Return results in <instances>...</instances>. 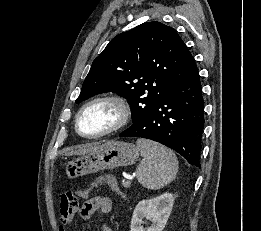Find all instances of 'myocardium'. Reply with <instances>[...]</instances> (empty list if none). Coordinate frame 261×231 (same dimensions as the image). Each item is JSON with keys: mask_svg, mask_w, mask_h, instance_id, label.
Masks as SVG:
<instances>
[{"mask_svg": "<svg viewBox=\"0 0 261 231\" xmlns=\"http://www.w3.org/2000/svg\"><path fill=\"white\" fill-rule=\"evenodd\" d=\"M99 102H108L113 104L114 106L117 107L118 112H119V119L117 123L112 126L111 128L97 133V134H92V135H87L81 132L79 128V120L82 115V113L91 105ZM132 119V108L129 102L118 95H102L98 96L95 98H92L91 100L87 101L77 112L76 117H75V131L77 132L78 135H80L83 138L87 139H95V138H101L113 133H116L118 131L123 130L131 121Z\"/></svg>", "mask_w": 261, "mask_h": 231, "instance_id": "f54148a6", "label": "myocardium"}]
</instances>
